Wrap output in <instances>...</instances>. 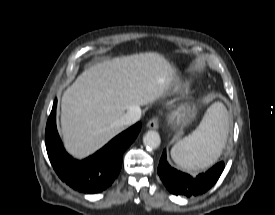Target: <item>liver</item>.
I'll list each match as a JSON object with an SVG mask.
<instances>
[{
  "mask_svg": "<svg viewBox=\"0 0 275 215\" xmlns=\"http://www.w3.org/2000/svg\"><path fill=\"white\" fill-rule=\"evenodd\" d=\"M177 79L175 67L156 52L98 62L81 73L61 101L67 151L84 158L125 129L117 121L132 107L162 97Z\"/></svg>",
  "mask_w": 275,
  "mask_h": 215,
  "instance_id": "liver-1",
  "label": "liver"
}]
</instances>
